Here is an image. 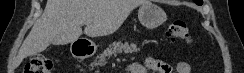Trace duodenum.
Instances as JSON below:
<instances>
[{"instance_id":"410a0bca","label":"duodenum","mask_w":244,"mask_h":73,"mask_svg":"<svg viewBox=\"0 0 244 73\" xmlns=\"http://www.w3.org/2000/svg\"><path fill=\"white\" fill-rule=\"evenodd\" d=\"M72 53L78 59H87L92 54V48L87 44L75 42L72 46Z\"/></svg>"}]
</instances>
